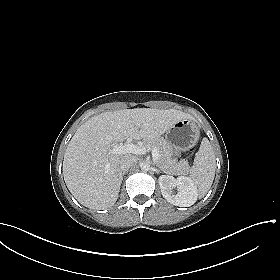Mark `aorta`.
Segmentation results:
<instances>
[{
    "label": "aorta",
    "mask_w": 280,
    "mask_h": 280,
    "mask_svg": "<svg viewBox=\"0 0 280 280\" xmlns=\"http://www.w3.org/2000/svg\"><path fill=\"white\" fill-rule=\"evenodd\" d=\"M140 167L144 172H147L150 169V165L148 163H142Z\"/></svg>",
    "instance_id": "aorta-1"
}]
</instances>
